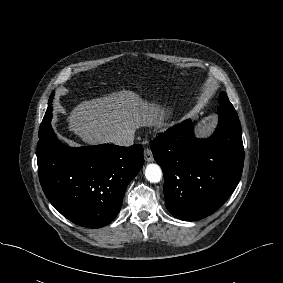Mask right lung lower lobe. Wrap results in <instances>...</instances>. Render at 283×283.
<instances>
[{"instance_id": "1", "label": "right lung lower lobe", "mask_w": 283, "mask_h": 283, "mask_svg": "<svg viewBox=\"0 0 283 283\" xmlns=\"http://www.w3.org/2000/svg\"><path fill=\"white\" fill-rule=\"evenodd\" d=\"M143 162L141 144L68 147L57 139L51 124L37 144L46 197L67 219L88 228L103 227L117 216L127 185Z\"/></svg>"}]
</instances>
